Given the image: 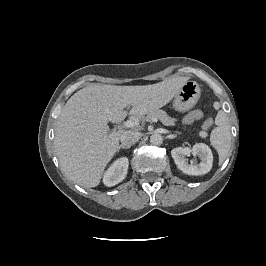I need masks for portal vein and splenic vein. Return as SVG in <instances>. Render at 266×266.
Masks as SVG:
<instances>
[{
    "instance_id": "obj_1",
    "label": "portal vein and splenic vein",
    "mask_w": 266,
    "mask_h": 266,
    "mask_svg": "<svg viewBox=\"0 0 266 266\" xmlns=\"http://www.w3.org/2000/svg\"><path fill=\"white\" fill-rule=\"evenodd\" d=\"M153 122H157L158 119L157 118H152L151 119ZM139 125V122L136 121V120H128L126 122H124L123 126L126 127V128H133L135 126H138Z\"/></svg>"
}]
</instances>
